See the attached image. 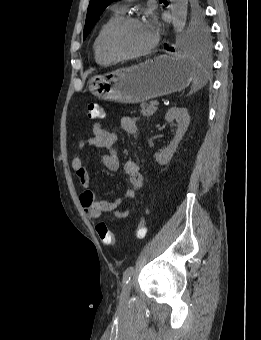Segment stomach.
I'll return each mask as SVG.
<instances>
[{
    "label": "stomach",
    "instance_id": "stomach-1",
    "mask_svg": "<svg viewBox=\"0 0 261 340\" xmlns=\"http://www.w3.org/2000/svg\"><path fill=\"white\" fill-rule=\"evenodd\" d=\"M194 74L195 65L185 57L160 55L138 65L94 76L89 81V90L104 100L136 104L185 89Z\"/></svg>",
    "mask_w": 261,
    "mask_h": 340
}]
</instances>
